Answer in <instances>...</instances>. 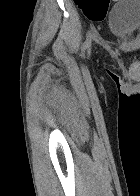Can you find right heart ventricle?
<instances>
[{
    "label": "right heart ventricle",
    "mask_w": 140,
    "mask_h": 196,
    "mask_svg": "<svg viewBox=\"0 0 140 196\" xmlns=\"http://www.w3.org/2000/svg\"><path fill=\"white\" fill-rule=\"evenodd\" d=\"M92 192H109V191H92Z\"/></svg>",
    "instance_id": "obj_1"
}]
</instances>
